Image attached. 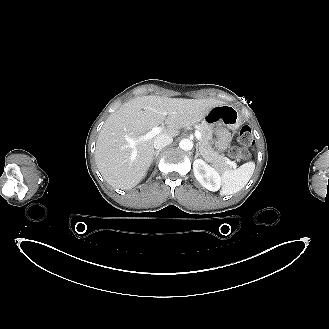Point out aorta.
Here are the masks:
<instances>
[{
  "label": "aorta",
  "mask_w": 329,
  "mask_h": 329,
  "mask_svg": "<svg viewBox=\"0 0 329 329\" xmlns=\"http://www.w3.org/2000/svg\"><path fill=\"white\" fill-rule=\"evenodd\" d=\"M179 147L182 150L189 151L193 148V142L190 139H182L179 143Z\"/></svg>",
  "instance_id": "obj_1"
}]
</instances>
